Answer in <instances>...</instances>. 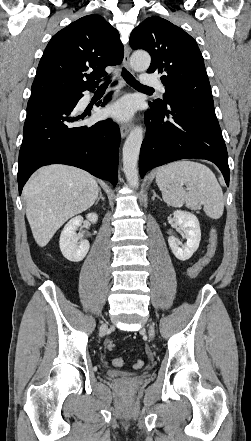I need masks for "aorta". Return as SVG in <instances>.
<instances>
[{"label": "aorta", "instance_id": "aorta-1", "mask_svg": "<svg viewBox=\"0 0 251 441\" xmlns=\"http://www.w3.org/2000/svg\"><path fill=\"white\" fill-rule=\"evenodd\" d=\"M150 56L146 52H135L131 57V66L135 71H145L150 65ZM143 141V129L134 127L123 146V171L127 182L132 188L139 186L137 163Z\"/></svg>", "mask_w": 251, "mask_h": 441}]
</instances>
